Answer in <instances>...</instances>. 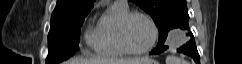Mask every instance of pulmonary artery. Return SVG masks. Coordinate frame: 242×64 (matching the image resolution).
I'll use <instances>...</instances> for the list:
<instances>
[{
    "label": "pulmonary artery",
    "mask_w": 242,
    "mask_h": 64,
    "mask_svg": "<svg viewBox=\"0 0 242 64\" xmlns=\"http://www.w3.org/2000/svg\"><path fill=\"white\" fill-rule=\"evenodd\" d=\"M114 3L122 5V6H127V1H125V0H118V1H115Z\"/></svg>",
    "instance_id": "obj_1"
}]
</instances>
